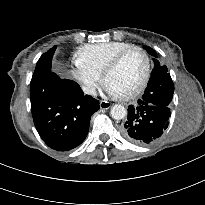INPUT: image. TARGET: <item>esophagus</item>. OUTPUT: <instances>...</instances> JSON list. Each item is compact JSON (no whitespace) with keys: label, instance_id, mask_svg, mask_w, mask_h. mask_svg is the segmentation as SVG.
<instances>
[{"label":"esophagus","instance_id":"esophagus-1","mask_svg":"<svg viewBox=\"0 0 205 205\" xmlns=\"http://www.w3.org/2000/svg\"><path fill=\"white\" fill-rule=\"evenodd\" d=\"M111 107V103L107 101H100V108L101 109H109Z\"/></svg>","mask_w":205,"mask_h":205}]
</instances>
